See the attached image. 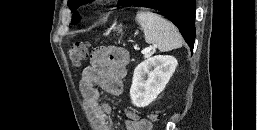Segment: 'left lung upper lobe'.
Masks as SVG:
<instances>
[{
	"mask_svg": "<svg viewBox=\"0 0 257 130\" xmlns=\"http://www.w3.org/2000/svg\"><path fill=\"white\" fill-rule=\"evenodd\" d=\"M86 2H88V0H68L69 8L74 12L72 16V24H76L80 20V16L75 9ZM136 2L137 0H119V5L136 4Z\"/></svg>",
	"mask_w": 257,
	"mask_h": 130,
	"instance_id": "left-lung-upper-lobe-1",
	"label": "left lung upper lobe"
}]
</instances>
